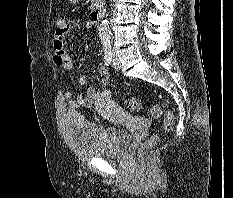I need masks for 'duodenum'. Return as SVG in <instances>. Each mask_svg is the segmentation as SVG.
Here are the masks:
<instances>
[{"label":"duodenum","mask_w":233,"mask_h":198,"mask_svg":"<svg viewBox=\"0 0 233 198\" xmlns=\"http://www.w3.org/2000/svg\"><path fill=\"white\" fill-rule=\"evenodd\" d=\"M103 16V10L102 8H95L89 15V22L90 24H97L100 22Z\"/></svg>","instance_id":"1"}]
</instances>
